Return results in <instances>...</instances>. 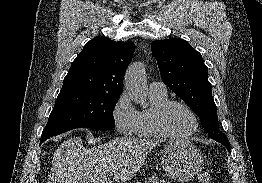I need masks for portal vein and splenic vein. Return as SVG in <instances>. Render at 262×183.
<instances>
[{
  "mask_svg": "<svg viewBox=\"0 0 262 183\" xmlns=\"http://www.w3.org/2000/svg\"><path fill=\"white\" fill-rule=\"evenodd\" d=\"M109 174H110V175H112V174H113V172H112V171H109Z\"/></svg>",
  "mask_w": 262,
  "mask_h": 183,
  "instance_id": "portal-vein-and-splenic-vein-1",
  "label": "portal vein and splenic vein"
}]
</instances>
